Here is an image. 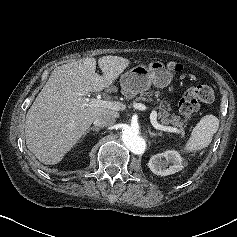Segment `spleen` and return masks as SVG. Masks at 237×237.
I'll return each instance as SVG.
<instances>
[{"label":"spleen","instance_id":"1","mask_svg":"<svg viewBox=\"0 0 237 237\" xmlns=\"http://www.w3.org/2000/svg\"><path fill=\"white\" fill-rule=\"evenodd\" d=\"M219 128V120L214 115H205L194 127L191 136L184 146L186 152H196L207 147Z\"/></svg>","mask_w":237,"mask_h":237}]
</instances>
